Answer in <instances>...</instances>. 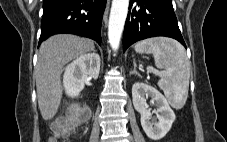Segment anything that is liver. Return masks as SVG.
Returning a JSON list of instances; mask_svg holds the SVG:
<instances>
[{"mask_svg":"<svg viewBox=\"0 0 227 142\" xmlns=\"http://www.w3.org/2000/svg\"><path fill=\"white\" fill-rule=\"evenodd\" d=\"M93 49L92 40L70 34L54 35L41 44L34 78L38 107L44 120H51L58 111L62 99L63 67Z\"/></svg>","mask_w":227,"mask_h":142,"instance_id":"liver-1","label":"liver"}]
</instances>
